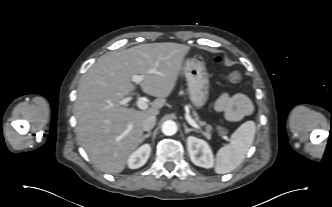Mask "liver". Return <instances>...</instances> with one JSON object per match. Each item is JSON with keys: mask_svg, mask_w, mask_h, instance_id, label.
<instances>
[{"mask_svg": "<svg viewBox=\"0 0 332 207\" xmlns=\"http://www.w3.org/2000/svg\"><path fill=\"white\" fill-rule=\"evenodd\" d=\"M189 51V46L178 43L141 44L104 54L81 77L74 106L77 136L101 171L124 170L130 154L143 142V121L159 114ZM135 74L145 76L140 84L143 92L157 97L142 111L119 105L135 90L131 81Z\"/></svg>", "mask_w": 332, "mask_h": 207, "instance_id": "liver-1", "label": "liver"}]
</instances>
